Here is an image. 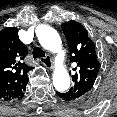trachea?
I'll return each mask as SVG.
<instances>
[{
	"label": "trachea",
	"instance_id": "3493384b",
	"mask_svg": "<svg viewBox=\"0 0 117 117\" xmlns=\"http://www.w3.org/2000/svg\"><path fill=\"white\" fill-rule=\"evenodd\" d=\"M32 54L34 59L45 57V52L40 47H35Z\"/></svg>",
	"mask_w": 117,
	"mask_h": 117
}]
</instances>
